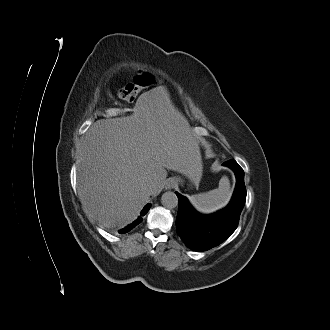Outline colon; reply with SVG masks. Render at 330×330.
I'll use <instances>...</instances> for the list:
<instances>
[{
	"label": "colon",
	"mask_w": 330,
	"mask_h": 330,
	"mask_svg": "<svg viewBox=\"0 0 330 330\" xmlns=\"http://www.w3.org/2000/svg\"><path fill=\"white\" fill-rule=\"evenodd\" d=\"M154 81L155 77L151 73L140 71L133 83L119 91V97L124 101H132L140 91L153 84Z\"/></svg>",
	"instance_id": "1"
}]
</instances>
